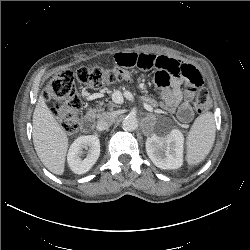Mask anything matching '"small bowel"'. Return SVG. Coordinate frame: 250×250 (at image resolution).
Instances as JSON below:
<instances>
[{
  "mask_svg": "<svg viewBox=\"0 0 250 250\" xmlns=\"http://www.w3.org/2000/svg\"><path fill=\"white\" fill-rule=\"evenodd\" d=\"M133 66L143 70L155 69L154 81L162 98V107L176 112L178 119L183 123L191 121V101L197 89L203 84L202 74L195 66L161 55L126 52L114 56L115 69ZM126 75L128 76L127 73Z\"/></svg>",
  "mask_w": 250,
  "mask_h": 250,
  "instance_id": "c3829d8e",
  "label": "small bowel"
}]
</instances>
